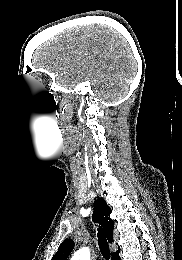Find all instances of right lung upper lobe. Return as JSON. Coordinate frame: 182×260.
Returning a JSON list of instances; mask_svg holds the SVG:
<instances>
[{
  "label": "right lung upper lobe",
  "mask_w": 182,
  "mask_h": 260,
  "mask_svg": "<svg viewBox=\"0 0 182 260\" xmlns=\"http://www.w3.org/2000/svg\"><path fill=\"white\" fill-rule=\"evenodd\" d=\"M110 213H111V208L107 205L105 200L103 198H98L94 204V212L92 215V220L94 222L98 221L102 225L107 235L108 241L112 243L114 222L110 218ZM73 248H74V241L72 239L65 240L60 245L57 253L53 256L52 260H67Z\"/></svg>",
  "instance_id": "right-lung-upper-lobe-1"
}]
</instances>
